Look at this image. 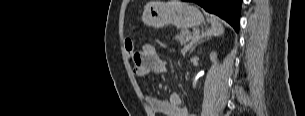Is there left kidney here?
<instances>
[{
    "label": "left kidney",
    "mask_w": 305,
    "mask_h": 116,
    "mask_svg": "<svg viewBox=\"0 0 305 116\" xmlns=\"http://www.w3.org/2000/svg\"><path fill=\"white\" fill-rule=\"evenodd\" d=\"M210 60L213 62V63H216V60H217V53L216 52H212L210 54ZM197 82H198V79L195 78L193 79V85L196 87L197 85Z\"/></svg>",
    "instance_id": "5707ae66"
}]
</instances>
